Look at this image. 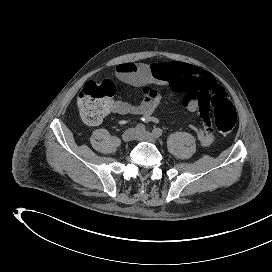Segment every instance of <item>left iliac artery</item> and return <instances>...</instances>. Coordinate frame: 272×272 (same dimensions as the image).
Masks as SVG:
<instances>
[{
    "instance_id": "obj_1",
    "label": "left iliac artery",
    "mask_w": 272,
    "mask_h": 272,
    "mask_svg": "<svg viewBox=\"0 0 272 272\" xmlns=\"http://www.w3.org/2000/svg\"><path fill=\"white\" fill-rule=\"evenodd\" d=\"M152 133H153L154 136L160 137V136H162L163 131L160 128H154L153 131H152Z\"/></svg>"
}]
</instances>
